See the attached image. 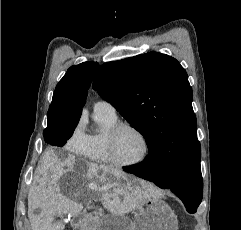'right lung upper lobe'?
Returning a JSON list of instances; mask_svg holds the SVG:
<instances>
[{
    "label": "right lung upper lobe",
    "instance_id": "obj_1",
    "mask_svg": "<svg viewBox=\"0 0 241 230\" xmlns=\"http://www.w3.org/2000/svg\"><path fill=\"white\" fill-rule=\"evenodd\" d=\"M99 64L84 62L71 66L53 94L47 118L52 121H78L87 98L93 75Z\"/></svg>",
    "mask_w": 241,
    "mask_h": 230
}]
</instances>
